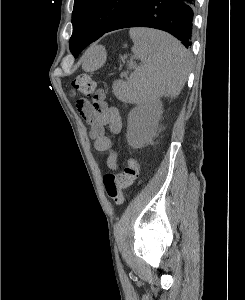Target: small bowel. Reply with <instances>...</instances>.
Returning a JSON list of instances; mask_svg holds the SVG:
<instances>
[{
	"label": "small bowel",
	"mask_w": 245,
	"mask_h": 300,
	"mask_svg": "<svg viewBox=\"0 0 245 300\" xmlns=\"http://www.w3.org/2000/svg\"><path fill=\"white\" fill-rule=\"evenodd\" d=\"M77 108L89 126V135L94 141V147L99 152L109 151L106 164L109 169H118V153L112 150V140L107 130L112 134H119L122 131V119L114 106L106 101L104 90H98L93 101L79 100Z\"/></svg>",
	"instance_id": "small-bowel-1"
}]
</instances>
